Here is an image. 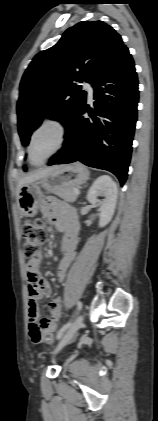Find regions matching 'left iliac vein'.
Listing matches in <instances>:
<instances>
[{
    "label": "left iliac vein",
    "mask_w": 158,
    "mask_h": 421,
    "mask_svg": "<svg viewBox=\"0 0 158 421\" xmlns=\"http://www.w3.org/2000/svg\"><path fill=\"white\" fill-rule=\"evenodd\" d=\"M83 319H84L83 315H79L74 320V322L71 324L69 329L66 331V333L61 338V340L58 343L57 347L55 348V351L53 352V354L58 353V351H60L65 345H67L68 343H70L73 340L77 331L82 326Z\"/></svg>",
    "instance_id": "obj_1"
}]
</instances>
